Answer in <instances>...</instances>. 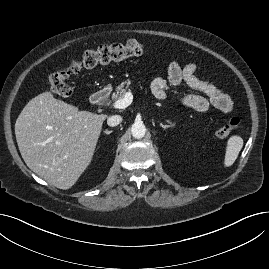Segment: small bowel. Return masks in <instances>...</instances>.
<instances>
[{"label":"small bowel","mask_w":269,"mask_h":269,"mask_svg":"<svg viewBox=\"0 0 269 269\" xmlns=\"http://www.w3.org/2000/svg\"><path fill=\"white\" fill-rule=\"evenodd\" d=\"M197 67L193 63L181 66L177 62L168 65L167 77H157L151 83L153 94L158 99H164L170 85L186 83L199 94H187L179 97L182 105L197 112H206L210 107L221 112H229L233 108L232 99L220 88L204 81L196 75Z\"/></svg>","instance_id":"obj_1"}]
</instances>
